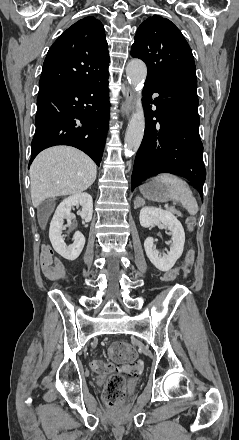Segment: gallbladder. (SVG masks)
Wrapping results in <instances>:
<instances>
[{"label":"gallbladder","instance_id":"gallbladder-1","mask_svg":"<svg viewBox=\"0 0 239 440\" xmlns=\"http://www.w3.org/2000/svg\"><path fill=\"white\" fill-rule=\"evenodd\" d=\"M38 222H39V224H41L40 214H38Z\"/></svg>","mask_w":239,"mask_h":440}]
</instances>
